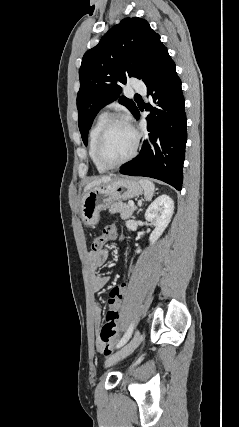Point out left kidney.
Returning <instances> with one entry per match:
<instances>
[{"label": "left kidney", "mask_w": 239, "mask_h": 427, "mask_svg": "<svg viewBox=\"0 0 239 427\" xmlns=\"http://www.w3.org/2000/svg\"><path fill=\"white\" fill-rule=\"evenodd\" d=\"M174 213V202L168 195H161L151 203L145 213V219L154 222L156 227L149 237L154 244L168 226Z\"/></svg>", "instance_id": "5707ae66"}]
</instances>
